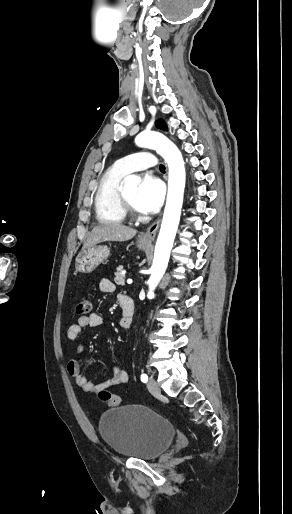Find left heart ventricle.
<instances>
[{"label": "left heart ventricle", "mask_w": 292, "mask_h": 514, "mask_svg": "<svg viewBox=\"0 0 292 514\" xmlns=\"http://www.w3.org/2000/svg\"><path fill=\"white\" fill-rule=\"evenodd\" d=\"M122 192H123V195L126 198V200L133 207L137 208L136 202H135L137 189L136 188H126V189H122Z\"/></svg>", "instance_id": "b2bd125f"}]
</instances>
